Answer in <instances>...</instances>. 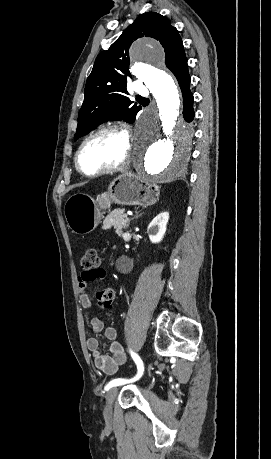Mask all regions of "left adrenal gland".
Instances as JSON below:
<instances>
[{
  "label": "left adrenal gland",
  "instance_id": "1",
  "mask_svg": "<svg viewBox=\"0 0 271 459\" xmlns=\"http://www.w3.org/2000/svg\"><path fill=\"white\" fill-rule=\"evenodd\" d=\"M133 220H134V218H133ZM129 224H130V220H129V222H127V224L125 226L126 229L128 228Z\"/></svg>",
  "mask_w": 271,
  "mask_h": 459
}]
</instances>
